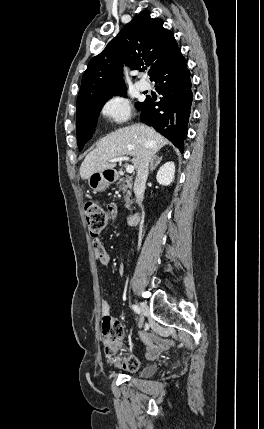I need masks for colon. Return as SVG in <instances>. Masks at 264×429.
I'll use <instances>...</instances> for the list:
<instances>
[{"label": "colon", "instance_id": "1", "mask_svg": "<svg viewBox=\"0 0 264 429\" xmlns=\"http://www.w3.org/2000/svg\"><path fill=\"white\" fill-rule=\"evenodd\" d=\"M85 216L90 234L97 237L107 226L112 218V207L101 205L95 200H88L85 203ZM123 329L120 323L112 319L107 313L102 318V342L108 354L118 352L122 346ZM128 370H135L138 362L134 357L127 358Z\"/></svg>", "mask_w": 264, "mask_h": 429}]
</instances>
